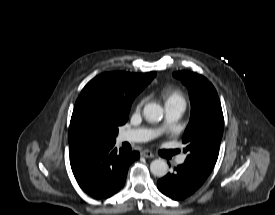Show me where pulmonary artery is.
I'll use <instances>...</instances> for the list:
<instances>
[{"label": "pulmonary artery", "mask_w": 275, "mask_h": 215, "mask_svg": "<svg viewBox=\"0 0 275 215\" xmlns=\"http://www.w3.org/2000/svg\"><path fill=\"white\" fill-rule=\"evenodd\" d=\"M167 123L170 126L176 120H178L185 110L184 103H173L165 106ZM155 135V132L148 129H131L122 131L119 135L120 141L124 142H144L148 141ZM185 161V156H180L177 159L178 164H182Z\"/></svg>", "instance_id": "pulmonary-artery-1"}]
</instances>
